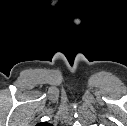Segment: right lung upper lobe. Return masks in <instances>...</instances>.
<instances>
[{
  "label": "right lung upper lobe",
  "instance_id": "1",
  "mask_svg": "<svg viewBox=\"0 0 127 126\" xmlns=\"http://www.w3.org/2000/svg\"><path fill=\"white\" fill-rule=\"evenodd\" d=\"M37 126H52L51 124H48L46 122H41Z\"/></svg>",
  "mask_w": 127,
  "mask_h": 126
}]
</instances>
